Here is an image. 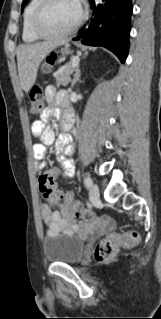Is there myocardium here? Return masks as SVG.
Instances as JSON below:
<instances>
[{"label":"myocardium","instance_id":"f54148a6","mask_svg":"<svg viewBox=\"0 0 161 319\" xmlns=\"http://www.w3.org/2000/svg\"><path fill=\"white\" fill-rule=\"evenodd\" d=\"M51 1L52 0H40V3L38 4L32 18V22H31L32 31L39 38H46V39L60 38V37L70 35L78 28V26L82 23V21L84 20L86 16V10L84 6L81 4L80 0H77L79 13L76 19L72 22V24L69 25L66 29L59 32H46L41 27L40 20H41L43 12L51 3Z\"/></svg>","mask_w":161,"mask_h":319}]
</instances>
